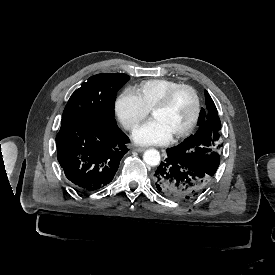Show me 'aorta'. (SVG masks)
Masks as SVG:
<instances>
[{"label":"aorta","instance_id":"1","mask_svg":"<svg viewBox=\"0 0 275 275\" xmlns=\"http://www.w3.org/2000/svg\"><path fill=\"white\" fill-rule=\"evenodd\" d=\"M143 160L150 166H156L160 163V153L156 149H148L143 154Z\"/></svg>","mask_w":275,"mask_h":275}]
</instances>
